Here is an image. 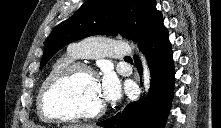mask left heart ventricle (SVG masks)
Segmentation results:
<instances>
[{
	"label": "left heart ventricle",
	"instance_id": "obj_1",
	"mask_svg": "<svg viewBox=\"0 0 221 128\" xmlns=\"http://www.w3.org/2000/svg\"><path fill=\"white\" fill-rule=\"evenodd\" d=\"M103 102L97 80L86 73H78L51 92L48 105L62 113H81L95 110Z\"/></svg>",
	"mask_w": 221,
	"mask_h": 128
}]
</instances>
